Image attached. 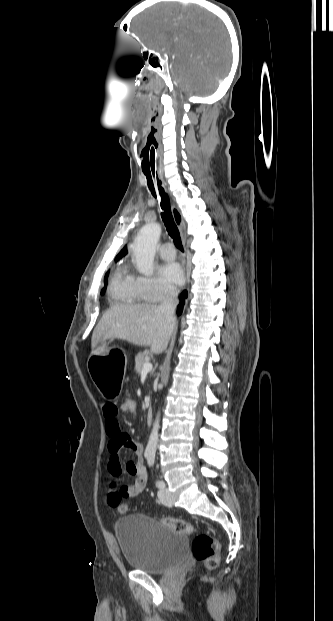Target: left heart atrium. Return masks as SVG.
<instances>
[{"label": "left heart atrium", "instance_id": "1", "mask_svg": "<svg viewBox=\"0 0 333 621\" xmlns=\"http://www.w3.org/2000/svg\"><path fill=\"white\" fill-rule=\"evenodd\" d=\"M160 276L162 280L170 285H180L184 280L183 270L176 262H168L160 267Z\"/></svg>", "mask_w": 333, "mask_h": 621}]
</instances>
